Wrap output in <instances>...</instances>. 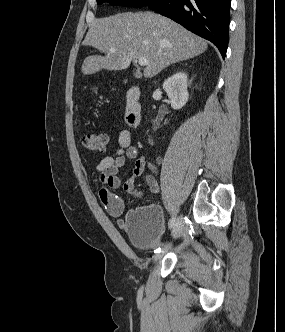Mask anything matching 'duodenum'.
Wrapping results in <instances>:
<instances>
[{
  "label": "duodenum",
  "mask_w": 285,
  "mask_h": 332,
  "mask_svg": "<svg viewBox=\"0 0 285 332\" xmlns=\"http://www.w3.org/2000/svg\"><path fill=\"white\" fill-rule=\"evenodd\" d=\"M141 91L137 86H131L126 92L125 121L131 128H137L141 123Z\"/></svg>",
  "instance_id": "1"
}]
</instances>
